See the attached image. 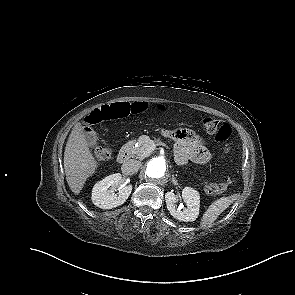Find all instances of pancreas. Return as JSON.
Here are the masks:
<instances>
[{"label": "pancreas", "instance_id": "cf45deb5", "mask_svg": "<svg viewBox=\"0 0 295 295\" xmlns=\"http://www.w3.org/2000/svg\"><path fill=\"white\" fill-rule=\"evenodd\" d=\"M155 143H161V141L159 139L152 140L149 136L146 135L140 136L137 141V146L131 148L132 156H136L140 159L149 156L152 152V150H150V147Z\"/></svg>", "mask_w": 295, "mask_h": 295}]
</instances>
